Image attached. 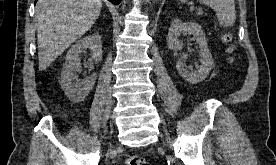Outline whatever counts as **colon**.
<instances>
[{"label": "colon", "instance_id": "5ec220e1", "mask_svg": "<svg viewBox=\"0 0 276 165\" xmlns=\"http://www.w3.org/2000/svg\"><path fill=\"white\" fill-rule=\"evenodd\" d=\"M225 42L231 41L230 35L224 37ZM125 165H150L144 158L140 156H130L125 160Z\"/></svg>", "mask_w": 276, "mask_h": 165}]
</instances>
